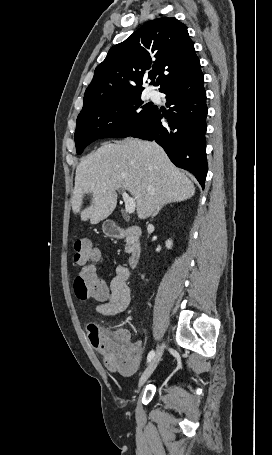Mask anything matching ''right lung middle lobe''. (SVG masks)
Returning <instances> with one entry per match:
<instances>
[{"instance_id": "right-lung-middle-lobe-1", "label": "right lung middle lobe", "mask_w": 272, "mask_h": 455, "mask_svg": "<svg viewBox=\"0 0 272 455\" xmlns=\"http://www.w3.org/2000/svg\"><path fill=\"white\" fill-rule=\"evenodd\" d=\"M156 108L143 105L141 94H138L80 113L74 135L77 153L81 154L84 148L100 138L130 136Z\"/></svg>"}]
</instances>
